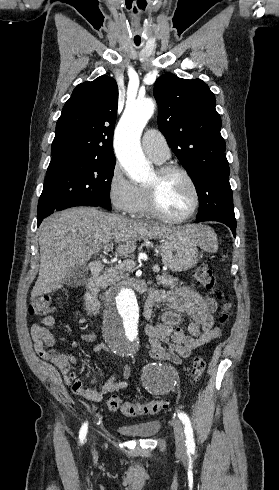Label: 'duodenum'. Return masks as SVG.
Listing matches in <instances>:
<instances>
[{"label":"duodenum","instance_id":"obj_1","mask_svg":"<svg viewBox=\"0 0 279 490\" xmlns=\"http://www.w3.org/2000/svg\"><path fill=\"white\" fill-rule=\"evenodd\" d=\"M103 269L104 265L101 261H92L90 264L92 277L90 279L89 286L84 293V302L86 309L93 314L97 313L100 309V302L94 287V281L102 273ZM122 285L127 288H132L139 293H145L147 290L144 282L137 279H128L122 282Z\"/></svg>","mask_w":279,"mask_h":490}]
</instances>
